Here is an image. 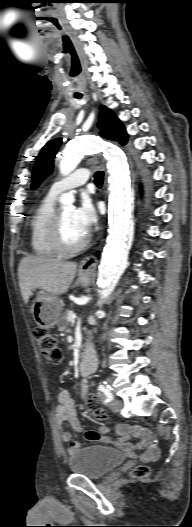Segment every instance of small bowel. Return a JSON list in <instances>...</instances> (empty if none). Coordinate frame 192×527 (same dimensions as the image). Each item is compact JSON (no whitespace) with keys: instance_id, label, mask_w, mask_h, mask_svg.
<instances>
[{"instance_id":"1","label":"small bowel","mask_w":192,"mask_h":527,"mask_svg":"<svg viewBox=\"0 0 192 527\" xmlns=\"http://www.w3.org/2000/svg\"><path fill=\"white\" fill-rule=\"evenodd\" d=\"M81 389L82 394H85L87 390L85 381L82 382ZM55 416L61 439L64 442H69L68 453L72 455L80 448V443L72 440L73 433L71 431H64L62 425L63 423L68 422L72 427V430L76 433L81 432L82 426L77 418L75 402L68 391H61L58 394V404L55 407ZM115 427L116 429H114L113 434H109L108 427L106 425H100L98 431H85L83 432L82 437L85 440L99 441L118 446L129 454L131 460H136L138 458V453L135 451L136 449H143L140 461H145V459H147L148 463H155L157 450L149 443L148 435L150 430L148 427H142L140 423H135L132 426L130 421H118L116 422ZM130 435L139 437L141 442L138 445H132L127 439ZM111 437H113V439Z\"/></svg>"}]
</instances>
